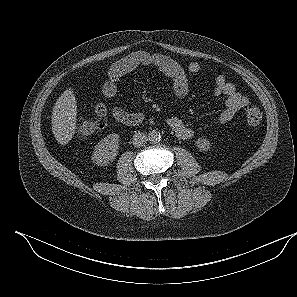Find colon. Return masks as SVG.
<instances>
[{
	"mask_svg": "<svg viewBox=\"0 0 297 297\" xmlns=\"http://www.w3.org/2000/svg\"><path fill=\"white\" fill-rule=\"evenodd\" d=\"M263 118V112L260 107L256 105H248L243 111L244 124L249 128L257 127ZM103 120L95 119H80L76 123V130L80 136H89L103 128Z\"/></svg>",
	"mask_w": 297,
	"mask_h": 297,
	"instance_id": "obj_1",
	"label": "colon"
}]
</instances>
